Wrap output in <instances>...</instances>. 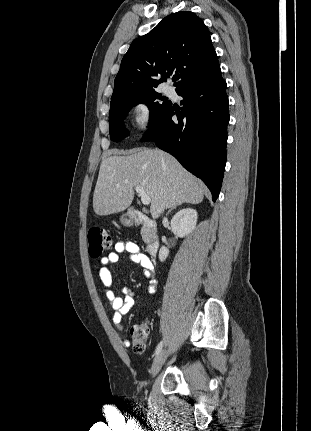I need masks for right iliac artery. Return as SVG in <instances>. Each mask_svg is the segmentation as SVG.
<instances>
[{
    "label": "right iliac artery",
    "mask_w": 311,
    "mask_h": 431,
    "mask_svg": "<svg viewBox=\"0 0 311 431\" xmlns=\"http://www.w3.org/2000/svg\"><path fill=\"white\" fill-rule=\"evenodd\" d=\"M162 347H163V342L161 341L155 350V356H157L161 352Z\"/></svg>",
    "instance_id": "right-iliac-artery-1"
}]
</instances>
